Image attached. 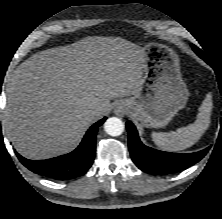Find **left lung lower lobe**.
Wrapping results in <instances>:
<instances>
[{
    "label": "left lung lower lobe",
    "mask_w": 222,
    "mask_h": 219,
    "mask_svg": "<svg viewBox=\"0 0 222 219\" xmlns=\"http://www.w3.org/2000/svg\"><path fill=\"white\" fill-rule=\"evenodd\" d=\"M195 53L207 62L202 50L191 44ZM128 130V147L136 166L150 174H171L184 170L200 161L208 152L209 147L195 153L177 154L158 151L145 146L139 139L138 132L130 121L126 122Z\"/></svg>",
    "instance_id": "left-lung-lower-lobe-1"
}]
</instances>
